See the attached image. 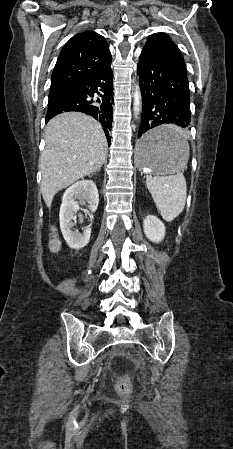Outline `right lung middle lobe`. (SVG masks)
<instances>
[{
  "instance_id": "obj_1",
  "label": "right lung middle lobe",
  "mask_w": 233,
  "mask_h": 449,
  "mask_svg": "<svg viewBox=\"0 0 233 449\" xmlns=\"http://www.w3.org/2000/svg\"><path fill=\"white\" fill-rule=\"evenodd\" d=\"M75 93L76 92L71 87L50 90L48 105L71 98V97L75 96Z\"/></svg>"
}]
</instances>
